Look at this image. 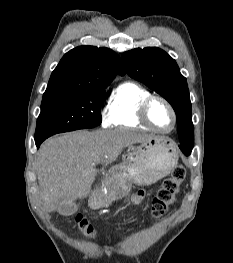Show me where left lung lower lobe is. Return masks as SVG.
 Listing matches in <instances>:
<instances>
[{"mask_svg": "<svg viewBox=\"0 0 233 263\" xmlns=\"http://www.w3.org/2000/svg\"><path fill=\"white\" fill-rule=\"evenodd\" d=\"M179 148L186 156H188L191 154L193 146L189 145L185 140H181L179 143Z\"/></svg>", "mask_w": 233, "mask_h": 263, "instance_id": "1", "label": "left lung lower lobe"}]
</instances>
